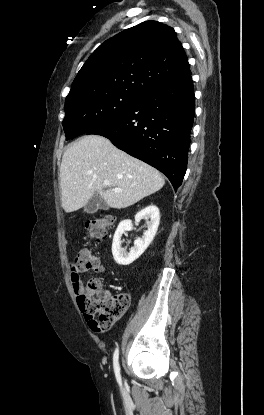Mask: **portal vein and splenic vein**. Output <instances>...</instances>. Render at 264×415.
Wrapping results in <instances>:
<instances>
[{
	"label": "portal vein and splenic vein",
	"instance_id": "18ae733b",
	"mask_svg": "<svg viewBox=\"0 0 264 415\" xmlns=\"http://www.w3.org/2000/svg\"><path fill=\"white\" fill-rule=\"evenodd\" d=\"M103 185H104V186H108V185H109V182H108V181H104ZM114 191H115L116 193L122 192V190H121L120 188H115V189H114Z\"/></svg>",
	"mask_w": 264,
	"mask_h": 415
}]
</instances>
